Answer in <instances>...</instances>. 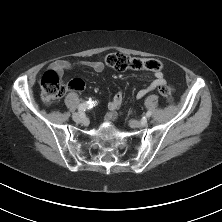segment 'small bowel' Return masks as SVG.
<instances>
[{
    "mask_svg": "<svg viewBox=\"0 0 222 222\" xmlns=\"http://www.w3.org/2000/svg\"><path fill=\"white\" fill-rule=\"evenodd\" d=\"M79 67H86L94 70L95 72H102L104 70V64L100 61H76L71 62L68 60H56L50 65L51 70L57 71L59 74H62L64 71L73 70ZM166 85L165 78L161 72H156L154 74L153 81L145 88L140 89L136 93V98L141 99L146 96L148 93L153 92L158 89L160 86ZM123 102V93L118 91L113 98L108 103V113L106 115V119L108 121H113L118 116V109L120 108Z\"/></svg>",
    "mask_w": 222,
    "mask_h": 222,
    "instance_id": "c3829d8e",
    "label": "small bowel"
}]
</instances>
